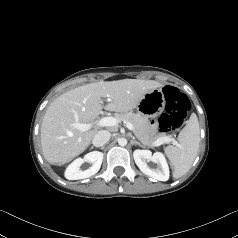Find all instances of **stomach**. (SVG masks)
<instances>
[{"instance_id": "0dacf381", "label": "stomach", "mask_w": 238, "mask_h": 238, "mask_svg": "<svg viewBox=\"0 0 238 238\" xmlns=\"http://www.w3.org/2000/svg\"><path fill=\"white\" fill-rule=\"evenodd\" d=\"M166 105V100L161 89H153L146 93L137 105L140 115L151 118L160 115Z\"/></svg>"}]
</instances>
